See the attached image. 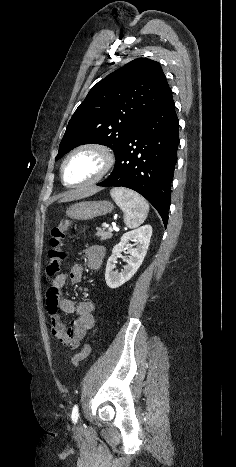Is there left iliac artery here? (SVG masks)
I'll use <instances>...</instances> for the list:
<instances>
[{"label":"left iliac artery","instance_id":"obj_1","mask_svg":"<svg viewBox=\"0 0 236 467\" xmlns=\"http://www.w3.org/2000/svg\"><path fill=\"white\" fill-rule=\"evenodd\" d=\"M78 417H79L78 406L74 405L72 409V414H71V418L74 424L77 423Z\"/></svg>","mask_w":236,"mask_h":467}]
</instances>
